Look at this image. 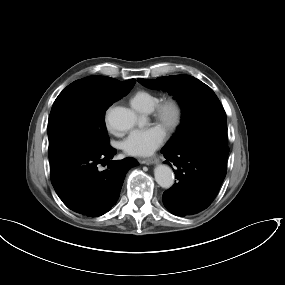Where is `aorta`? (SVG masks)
<instances>
[{"mask_svg": "<svg viewBox=\"0 0 285 285\" xmlns=\"http://www.w3.org/2000/svg\"><path fill=\"white\" fill-rule=\"evenodd\" d=\"M137 115L130 109L116 106L108 110L107 122L109 126L118 131H128L137 123ZM155 180L159 186L169 189L174 184L172 169L164 164L158 165L154 170Z\"/></svg>", "mask_w": 285, "mask_h": 285, "instance_id": "1", "label": "aorta"}]
</instances>
